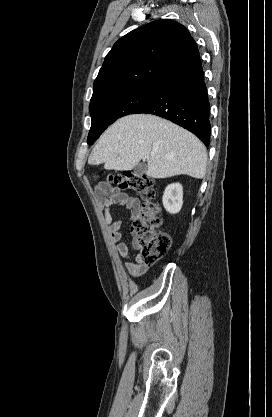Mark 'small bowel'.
Segmentation results:
<instances>
[{"label": "small bowel", "instance_id": "c3829d8e", "mask_svg": "<svg viewBox=\"0 0 272 417\" xmlns=\"http://www.w3.org/2000/svg\"><path fill=\"white\" fill-rule=\"evenodd\" d=\"M95 198L99 209L104 213V222L109 228L112 241L115 243V249L119 256L125 258L124 268L132 277L142 276L148 269L147 265L142 264L139 254L132 255L125 242H122L121 220H114L111 215L113 206H121L127 209L131 219H136L140 213V202L137 198L122 192L119 188L112 186L108 182H100L94 190ZM132 246L137 248V240L132 241Z\"/></svg>", "mask_w": 272, "mask_h": 417}]
</instances>
